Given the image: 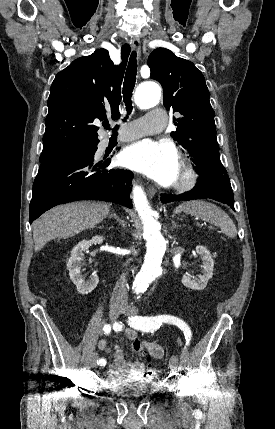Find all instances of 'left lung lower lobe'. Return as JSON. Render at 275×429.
I'll return each instance as SVG.
<instances>
[{
    "instance_id": "0a47b994",
    "label": "left lung lower lobe",
    "mask_w": 275,
    "mask_h": 429,
    "mask_svg": "<svg viewBox=\"0 0 275 429\" xmlns=\"http://www.w3.org/2000/svg\"><path fill=\"white\" fill-rule=\"evenodd\" d=\"M198 173L199 180L191 191L180 195L161 194V203L210 198L225 203L235 210L228 174L214 169L198 171Z\"/></svg>"
}]
</instances>
